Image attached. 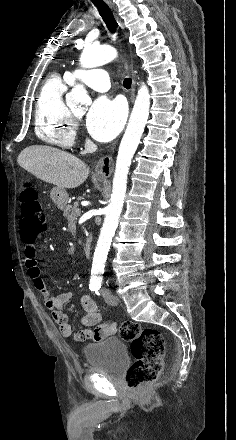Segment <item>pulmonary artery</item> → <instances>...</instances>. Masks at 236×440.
Wrapping results in <instances>:
<instances>
[{
    "label": "pulmonary artery",
    "mask_w": 236,
    "mask_h": 440,
    "mask_svg": "<svg viewBox=\"0 0 236 440\" xmlns=\"http://www.w3.org/2000/svg\"><path fill=\"white\" fill-rule=\"evenodd\" d=\"M66 78L70 84L81 81L97 92H106L110 89V75L104 69L75 70L68 72Z\"/></svg>",
    "instance_id": "pulmonary-artery-1"
}]
</instances>
